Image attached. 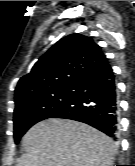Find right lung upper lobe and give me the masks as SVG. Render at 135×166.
I'll list each match as a JSON object with an SVG mask.
<instances>
[{
    "mask_svg": "<svg viewBox=\"0 0 135 166\" xmlns=\"http://www.w3.org/2000/svg\"><path fill=\"white\" fill-rule=\"evenodd\" d=\"M107 62L91 37L78 33L59 40L18 81L16 107L73 87L79 79Z\"/></svg>",
    "mask_w": 135,
    "mask_h": 166,
    "instance_id": "obj_1",
    "label": "right lung upper lobe"
}]
</instances>
